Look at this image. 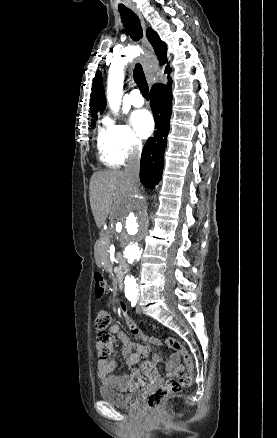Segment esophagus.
Instances as JSON below:
<instances>
[{"label": "esophagus", "instance_id": "34e87169", "mask_svg": "<svg viewBox=\"0 0 277 438\" xmlns=\"http://www.w3.org/2000/svg\"><path fill=\"white\" fill-rule=\"evenodd\" d=\"M130 8L138 16V18H139V20L141 22V26H142L143 31H144V36L142 38V47H143L144 51H143V54L141 55V58H140L141 61L144 62V60L147 57H151V55L153 53L152 48H151V46H150V44H149V42H148V40L146 39V36H145V20H144V18L142 16L141 12L138 10V8H136V7H130Z\"/></svg>", "mask_w": 277, "mask_h": 438}]
</instances>
